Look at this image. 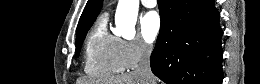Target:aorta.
<instances>
[{
    "label": "aorta",
    "mask_w": 260,
    "mask_h": 84,
    "mask_svg": "<svg viewBox=\"0 0 260 84\" xmlns=\"http://www.w3.org/2000/svg\"><path fill=\"white\" fill-rule=\"evenodd\" d=\"M139 0H119L115 14L116 34L133 39L138 16Z\"/></svg>",
    "instance_id": "1"
}]
</instances>
